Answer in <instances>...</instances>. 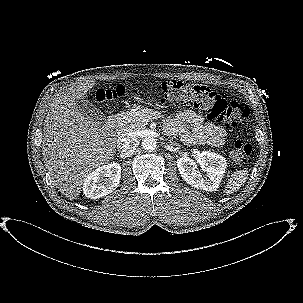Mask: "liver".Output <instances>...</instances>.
I'll return each instance as SVG.
<instances>
[{"instance_id": "liver-1", "label": "liver", "mask_w": 303, "mask_h": 303, "mask_svg": "<svg viewBox=\"0 0 303 303\" xmlns=\"http://www.w3.org/2000/svg\"><path fill=\"white\" fill-rule=\"evenodd\" d=\"M95 84L88 80L57 94L45 119L44 163L56 187L70 200L79 197L87 175L115 153V132L84 116L76 106Z\"/></svg>"}]
</instances>
